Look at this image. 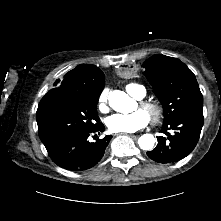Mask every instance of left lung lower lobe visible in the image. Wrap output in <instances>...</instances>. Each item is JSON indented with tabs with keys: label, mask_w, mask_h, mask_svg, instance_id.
I'll list each match as a JSON object with an SVG mask.
<instances>
[{
	"label": "left lung lower lobe",
	"mask_w": 221,
	"mask_h": 221,
	"mask_svg": "<svg viewBox=\"0 0 221 221\" xmlns=\"http://www.w3.org/2000/svg\"><path fill=\"white\" fill-rule=\"evenodd\" d=\"M203 122L202 109H195L164 123L161 131L166 137H157L158 144L155 149L147 152L148 157L159 163H173L185 158L195 148ZM168 130H172L174 133L170 134L167 132ZM169 146H173L175 152L171 156L165 157L162 150Z\"/></svg>",
	"instance_id": "0a47b994"
}]
</instances>
